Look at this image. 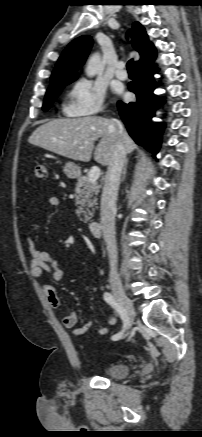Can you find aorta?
<instances>
[{"label": "aorta", "mask_w": 202, "mask_h": 437, "mask_svg": "<svg viewBox=\"0 0 202 437\" xmlns=\"http://www.w3.org/2000/svg\"><path fill=\"white\" fill-rule=\"evenodd\" d=\"M104 63L101 60V56L99 53H95L88 59L86 66V75L88 77H93L95 74L103 71Z\"/></svg>", "instance_id": "1"}]
</instances>
